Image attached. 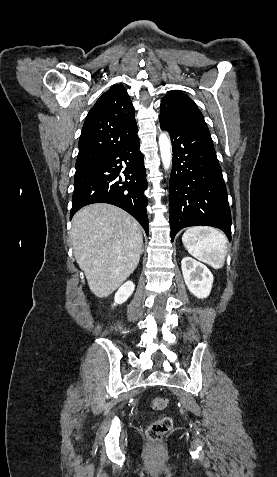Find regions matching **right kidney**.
Returning a JSON list of instances; mask_svg holds the SVG:
<instances>
[{
    "label": "right kidney",
    "instance_id": "right-kidney-1",
    "mask_svg": "<svg viewBox=\"0 0 277 477\" xmlns=\"http://www.w3.org/2000/svg\"><path fill=\"white\" fill-rule=\"evenodd\" d=\"M135 285L132 281L124 283L116 292L114 297V305L124 303L133 293Z\"/></svg>",
    "mask_w": 277,
    "mask_h": 477
}]
</instances>
